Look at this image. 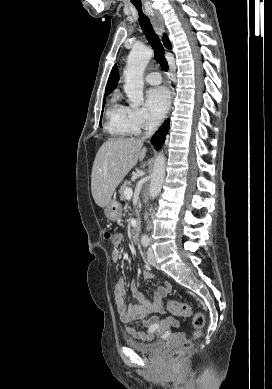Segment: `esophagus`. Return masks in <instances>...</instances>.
Masks as SVG:
<instances>
[{
	"label": "esophagus",
	"mask_w": 272,
	"mask_h": 389,
	"mask_svg": "<svg viewBox=\"0 0 272 389\" xmlns=\"http://www.w3.org/2000/svg\"><path fill=\"white\" fill-rule=\"evenodd\" d=\"M151 22L154 27L155 32L161 38L164 33V22L163 18L159 12L152 10L150 13Z\"/></svg>",
	"instance_id": "obj_1"
}]
</instances>
